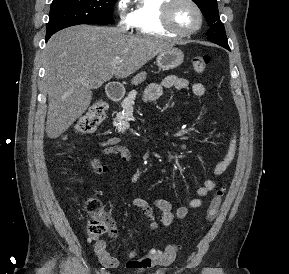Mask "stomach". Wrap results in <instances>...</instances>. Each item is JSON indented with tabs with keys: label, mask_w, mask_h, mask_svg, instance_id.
<instances>
[{
	"label": "stomach",
	"mask_w": 289,
	"mask_h": 274,
	"mask_svg": "<svg viewBox=\"0 0 289 274\" xmlns=\"http://www.w3.org/2000/svg\"><path fill=\"white\" fill-rule=\"evenodd\" d=\"M184 54L178 48H171L168 51L160 53L156 62L160 69L169 70L180 66L183 63Z\"/></svg>",
	"instance_id": "0dacf381"
}]
</instances>
